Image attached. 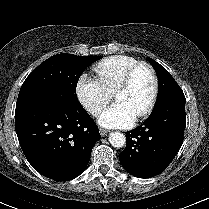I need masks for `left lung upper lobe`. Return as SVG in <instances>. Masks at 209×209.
Here are the masks:
<instances>
[{
  "label": "left lung upper lobe",
  "mask_w": 209,
  "mask_h": 209,
  "mask_svg": "<svg viewBox=\"0 0 209 209\" xmlns=\"http://www.w3.org/2000/svg\"><path fill=\"white\" fill-rule=\"evenodd\" d=\"M148 61L155 69L159 79V94L155 107L168 101L185 99L182 89L171 74L153 59L148 58Z\"/></svg>",
  "instance_id": "5c2ea615"
}]
</instances>
